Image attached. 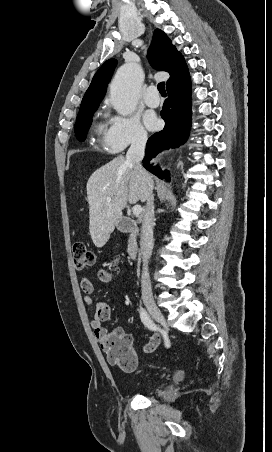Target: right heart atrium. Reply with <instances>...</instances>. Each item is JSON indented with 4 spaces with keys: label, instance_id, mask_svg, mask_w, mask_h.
I'll list each match as a JSON object with an SVG mask.
<instances>
[{
    "label": "right heart atrium",
    "instance_id": "right-heart-atrium-1",
    "mask_svg": "<svg viewBox=\"0 0 272 452\" xmlns=\"http://www.w3.org/2000/svg\"><path fill=\"white\" fill-rule=\"evenodd\" d=\"M148 134L136 116L108 117V127L103 134V146L110 152L123 151L128 146H141Z\"/></svg>",
    "mask_w": 272,
    "mask_h": 452
}]
</instances>
